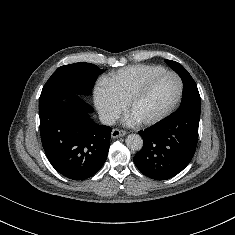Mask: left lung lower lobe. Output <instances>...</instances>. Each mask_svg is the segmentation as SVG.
I'll return each mask as SVG.
<instances>
[{"label":"left lung lower lobe","instance_id":"1","mask_svg":"<svg viewBox=\"0 0 235 235\" xmlns=\"http://www.w3.org/2000/svg\"><path fill=\"white\" fill-rule=\"evenodd\" d=\"M199 120V110L185 109L139 131L144 145L134 156L137 168L155 180H166L177 175L190 163L195 153Z\"/></svg>","mask_w":235,"mask_h":235}]
</instances>
